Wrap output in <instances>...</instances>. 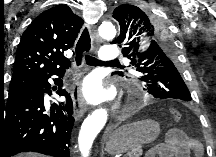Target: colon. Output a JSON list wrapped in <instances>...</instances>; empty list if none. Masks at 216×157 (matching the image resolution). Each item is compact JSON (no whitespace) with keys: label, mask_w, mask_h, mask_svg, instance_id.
Instances as JSON below:
<instances>
[{"label":"colon","mask_w":216,"mask_h":157,"mask_svg":"<svg viewBox=\"0 0 216 157\" xmlns=\"http://www.w3.org/2000/svg\"><path fill=\"white\" fill-rule=\"evenodd\" d=\"M171 116L175 122H180L182 120V114L179 110L177 109H172L171 110Z\"/></svg>","instance_id":"1"}]
</instances>
